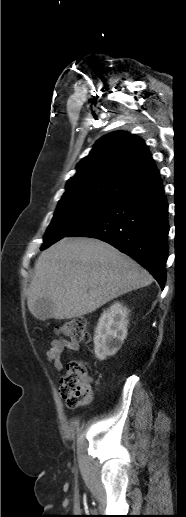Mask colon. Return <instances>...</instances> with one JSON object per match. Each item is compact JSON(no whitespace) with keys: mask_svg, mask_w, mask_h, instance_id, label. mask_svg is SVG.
Segmentation results:
<instances>
[{"mask_svg":"<svg viewBox=\"0 0 186 517\" xmlns=\"http://www.w3.org/2000/svg\"><path fill=\"white\" fill-rule=\"evenodd\" d=\"M57 332L73 342H84L90 339L88 323L83 318L63 323ZM59 391L67 407L76 408L92 402L93 386L88 377L86 362L75 360L67 364L59 382Z\"/></svg>","mask_w":186,"mask_h":517,"instance_id":"obj_1","label":"colon"}]
</instances>
